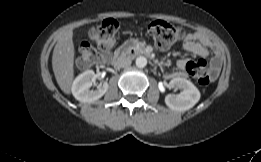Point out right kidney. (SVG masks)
Returning a JSON list of instances; mask_svg holds the SVG:
<instances>
[{
	"label": "right kidney",
	"mask_w": 261,
	"mask_h": 162,
	"mask_svg": "<svg viewBox=\"0 0 261 162\" xmlns=\"http://www.w3.org/2000/svg\"><path fill=\"white\" fill-rule=\"evenodd\" d=\"M94 82L95 73L93 70H87L80 74L72 84L74 97L84 103H92L101 98L107 92L109 85L107 82H103L96 90H90Z\"/></svg>",
	"instance_id": "right-kidney-1"
}]
</instances>
